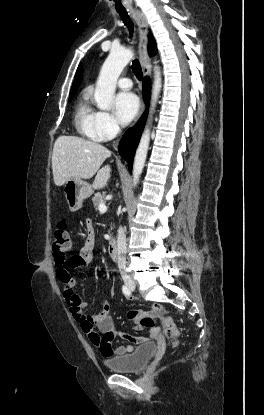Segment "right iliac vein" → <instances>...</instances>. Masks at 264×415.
Segmentation results:
<instances>
[{
	"instance_id": "right-iliac-vein-1",
	"label": "right iliac vein",
	"mask_w": 264,
	"mask_h": 415,
	"mask_svg": "<svg viewBox=\"0 0 264 415\" xmlns=\"http://www.w3.org/2000/svg\"><path fill=\"white\" fill-rule=\"evenodd\" d=\"M127 285H128L129 287H133V286H134V282H133V281H127Z\"/></svg>"
}]
</instances>
